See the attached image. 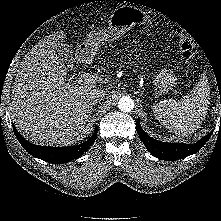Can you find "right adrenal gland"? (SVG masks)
Listing matches in <instances>:
<instances>
[{
  "instance_id": "right-adrenal-gland-1",
  "label": "right adrenal gland",
  "mask_w": 221,
  "mask_h": 221,
  "mask_svg": "<svg viewBox=\"0 0 221 221\" xmlns=\"http://www.w3.org/2000/svg\"><path fill=\"white\" fill-rule=\"evenodd\" d=\"M89 118L91 117L92 113H93V110H94V106L96 105V102H90L89 104Z\"/></svg>"
}]
</instances>
